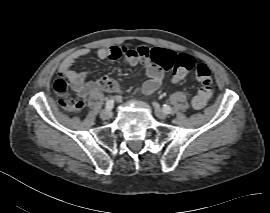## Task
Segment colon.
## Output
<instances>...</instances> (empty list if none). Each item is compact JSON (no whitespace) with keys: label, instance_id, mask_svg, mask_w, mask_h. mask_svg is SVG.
I'll use <instances>...</instances> for the list:
<instances>
[{"label":"colon","instance_id":"colon-1","mask_svg":"<svg viewBox=\"0 0 270 213\" xmlns=\"http://www.w3.org/2000/svg\"><path fill=\"white\" fill-rule=\"evenodd\" d=\"M115 57L137 56L141 59L151 60L164 70L172 72L174 82L182 81L188 72L194 68L195 76L201 84L199 91L192 99V107L201 110L210 100L213 94V80L210 69L203 63L196 64L195 59L187 54L173 55L168 51H150L146 47H118ZM53 89L58 94V102L64 108L71 111H78L83 108L84 102L69 94L61 80L53 83Z\"/></svg>","mask_w":270,"mask_h":213}]
</instances>
